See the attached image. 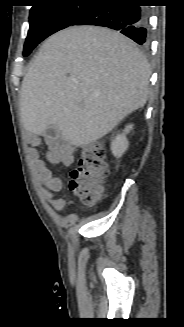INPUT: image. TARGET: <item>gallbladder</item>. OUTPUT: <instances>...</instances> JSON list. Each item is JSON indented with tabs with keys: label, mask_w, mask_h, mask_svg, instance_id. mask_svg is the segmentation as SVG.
Returning <instances> with one entry per match:
<instances>
[{
	"label": "gallbladder",
	"mask_w": 184,
	"mask_h": 327,
	"mask_svg": "<svg viewBox=\"0 0 184 327\" xmlns=\"http://www.w3.org/2000/svg\"><path fill=\"white\" fill-rule=\"evenodd\" d=\"M59 131L55 127H49L46 131L47 136H58Z\"/></svg>",
	"instance_id": "1"
}]
</instances>
